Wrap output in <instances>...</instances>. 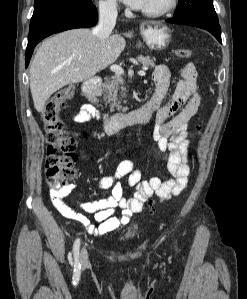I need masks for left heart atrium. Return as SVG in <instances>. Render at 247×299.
Returning <instances> with one entry per match:
<instances>
[{
    "mask_svg": "<svg viewBox=\"0 0 247 299\" xmlns=\"http://www.w3.org/2000/svg\"><path fill=\"white\" fill-rule=\"evenodd\" d=\"M126 5L136 8V9H142L146 5L147 0H121Z\"/></svg>",
    "mask_w": 247,
    "mask_h": 299,
    "instance_id": "39dd6f15",
    "label": "left heart atrium"
}]
</instances>
